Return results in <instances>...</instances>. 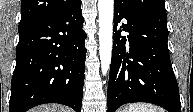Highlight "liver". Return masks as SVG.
<instances>
[{
  "label": "liver",
  "instance_id": "obj_1",
  "mask_svg": "<svg viewBox=\"0 0 193 112\" xmlns=\"http://www.w3.org/2000/svg\"><path fill=\"white\" fill-rule=\"evenodd\" d=\"M30 112H71V110L60 105H44L31 109Z\"/></svg>",
  "mask_w": 193,
  "mask_h": 112
}]
</instances>
